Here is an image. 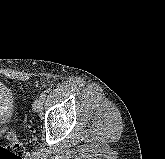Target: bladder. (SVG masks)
<instances>
[{"mask_svg":"<svg viewBox=\"0 0 165 159\" xmlns=\"http://www.w3.org/2000/svg\"><path fill=\"white\" fill-rule=\"evenodd\" d=\"M12 96L11 89L4 83L0 82V106L11 103Z\"/></svg>","mask_w":165,"mask_h":159,"instance_id":"31cf9c89","label":"bladder"}]
</instances>
